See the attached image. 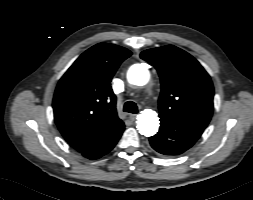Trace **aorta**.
I'll return each mask as SVG.
<instances>
[{"label":"aorta","mask_w":253,"mask_h":200,"mask_svg":"<svg viewBox=\"0 0 253 200\" xmlns=\"http://www.w3.org/2000/svg\"><path fill=\"white\" fill-rule=\"evenodd\" d=\"M150 78L149 71L143 64L132 65L127 73L129 83L143 86L148 83ZM159 128V118L155 111L144 110L138 115L137 129L139 133L146 137L155 135Z\"/></svg>","instance_id":"1"}]
</instances>
